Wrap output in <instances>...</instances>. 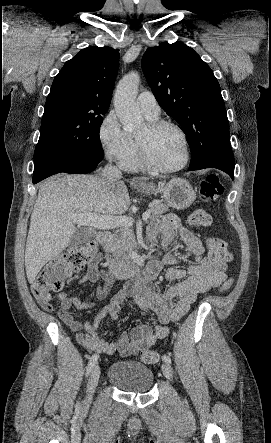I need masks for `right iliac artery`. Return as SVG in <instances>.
<instances>
[{
    "instance_id": "82829eb1",
    "label": "right iliac artery",
    "mask_w": 271,
    "mask_h": 443,
    "mask_svg": "<svg viewBox=\"0 0 271 443\" xmlns=\"http://www.w3.org/2000/svg\"><path fill=\"white\" fill-rule=\"evenodd\" d=\"M98 358H99V355H98V354H94V355H92V357L90 358V361H89L88 366H87V375H89V373L91 372V370L93 369V367H94L95 364L97 363Z\"/></svg>"
}]
</instances>
